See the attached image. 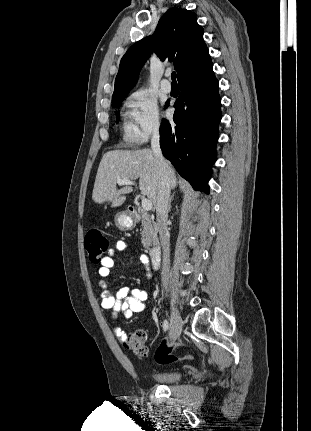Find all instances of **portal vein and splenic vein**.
Here are the masks:
<instances>
[{
  "instance_id": "1",
  "label": "portal vein and splenic vein",
  "mask_w": 311,
  "mask_h": 431,
  "mask_svg": "<svg viewBox=\"0 0 311 431\" xmlns=\"http://www.w3.org/2000/svg\"><path fill=\"white\" fill-rule=\"evenodd\" d=\"M117 184L118 186H135L134 182H131V180H117ZM141 206L145 212H150L153 208L152 202L147 200V198H142Z\"/></svg>"
}]
</instances>
